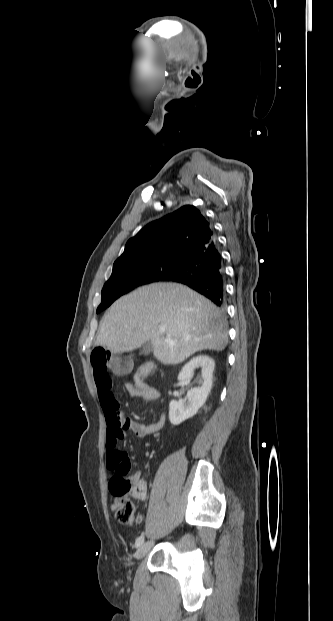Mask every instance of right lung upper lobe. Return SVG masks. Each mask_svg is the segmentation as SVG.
Listing matches in <instances>:
<instances>
[{"label":"right lung upper lobe","mask_w":333,"mask_h":621,"mask_svg":"<svg viewBox=\"0 0 333 621\" xmlns=\"http://www.w3.org/2000/svg\"><path fill=\"white\" fill-rule=\"evenodd\" d=\"M215 238L208 220L193 205L178 210L143 227L129 239L115 263L159 257L186 258Z\"/></svg>","instance_id":"cb5924a9"}]
</instances>
